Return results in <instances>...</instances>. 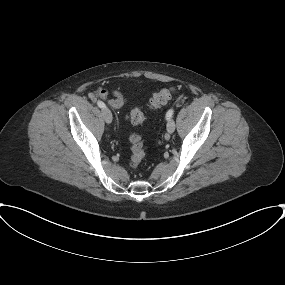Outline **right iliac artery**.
Returning <instances> with one entry per match:
<instances>
[{
	"instance_id": "obj_1",
	"label": "right iliac artery",
	"mask_w": 285,
	"mask_h": 285,
	"mask_svg": "<svg viewBox=\"0 0 285 285\" xmlns=\"http://www.w3.org/2000/svg\"><path fill=\"white\" fill-rule=\"evenodd\" d=\"M97 105H98L100 108H106V105H105L102 101H98V102H97Z\"/></svg>"
}]
</instances>
